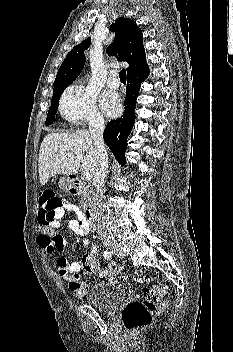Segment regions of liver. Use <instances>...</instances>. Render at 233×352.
Here are the masks:
<instances>
[{
  "label": "liver",
  "instance_id": "obj_1",
  "mask_svg": "<svg viewBox=\"0 0 233 352\" xmlns=\"http://www.w3.org/2000/svg\"><path fill=\"white\" fill-rule=\"evenodd\" d=\"M96 163L97 148L88 131L49 133L39 151L40 184L56 174L75 175L80 168L94 175Z\"/></svg>",
  "mask_w": 233,
  "mask_h": 352
}]
</instances>
